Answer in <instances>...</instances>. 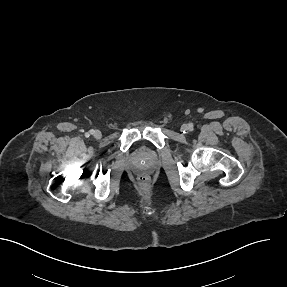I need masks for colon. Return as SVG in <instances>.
Instances as JSON below:
<instances>
[{"mask_svg": "<svg viewBox=\"0 0 287 287\" xmlns=\"http://www.w3.org/2000/svg\"><path fill=\"white\" fill-rule=\"evenodd\" d=\"M138 183L142 188H146L150 183V179L147 175H140L138 177Z\"/></svg>", "mask_w": 287, "mask_h": 287, "instance_id": "1", "label": "colon"}]
</instances>
